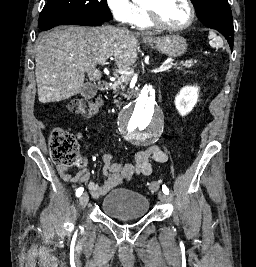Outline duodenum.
Segmentation results:
<instances>
[{"instance_id":"410a0bca","label":"duodenum","mask_w":256,"mask_h":267,"mask_svg":"<svg viewBox=\"0 0 256 267\" xmlns=\"http://www.w3.org/2000/svg\"><path fill=\"white\" fill-rule=\"evenodd\" d=\"M99 89L101 91H105L108 87V81L106 79H102L100 82H99ZM132 93L133 95L132 96H128L127 97V100L128 101H133L134 99H140V93H141V90L140 89H133L132 90Z\"/></svg>"}]
</instances>
